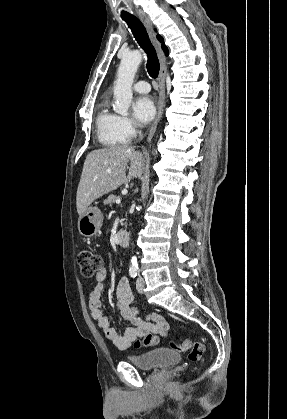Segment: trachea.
Here are the masks:
<instances>
[{
  "label": "trachea",
  "mask_w": 287,
  "mask_h": 419,
  "mask_svg": "<svg viewBox=\"0 0 287 419\" xmlns=\"http://www.w3.org/2000/svg\"><path fill=\"white\" fill-rule=\"evenodd\" d=\"M122 19L131 29L140 47L147 54V71L152 78L158 77L160 65L154 47L152 46L147 31L141 21L131 14L121 15Z\"/></svg>",
  "instance_id": "1"
}]
</instances>
